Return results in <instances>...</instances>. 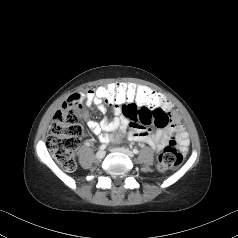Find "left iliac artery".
Here are the masks:
<instances>
[{
    "label": "left iliac artery",
    "instance_id": "obj_1",
    "mask_svg": "<svg viewBox=\"0 0 238 238\" xmlns=\"http://www.w3.org/2000/svg\"><path fill=\"white\" fill-rule=\"evenodd\" d=\"M133 153H134V154H138L139 151H138L137 149H133Z\"/></svg>",
    "mask_w": 238,
    "mask_h": 238
}]
</instances>
